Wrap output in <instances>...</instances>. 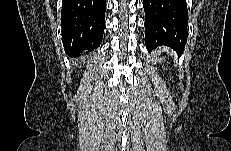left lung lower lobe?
Wrapping results in <instances>:
<instances>
[{
  "instance_id": "0a47b994",
  "label": "left lung lower lobe",
  "mask_w": 231,
  "mask_h": 151,
  "mask_svg": "<svg viewBox=\"0 0 231 151\" xmlns=\"http://www.w3.org/2000/svg\"><path fill=\"white\" fill-rule=\"evenodd\" d=\"M148 50L165 45L182 53L188 37L186 0H143Z\"/></svg>"
}]
</instances>
